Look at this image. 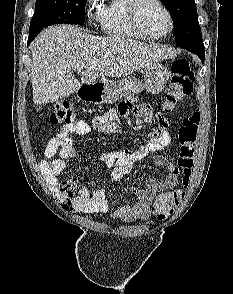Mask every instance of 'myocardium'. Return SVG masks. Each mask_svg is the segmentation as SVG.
Wrapping results in <instances>:
<instances>
[{
  "label": "myocardium",
  "instance_id": "1",
  "mask_svg": "<svg viewBox=\"0 0 233 294\" xmlns=\"http://www.w3.org/2000/svg\"><path fill=\"white\" fill-rule=\"evenodd\" d=\"M148 1H151V2L158 4L167 15V18L169 21V28L163 34H160V35L149 34L148 32H146L144 30V28L141 25L140 10H141V7L143 6V4ZM129 19H130V23H131L132 27L134 28V30L146 39L158 40V39L165 38L168 35H170L174 29L173 15H172L170 9L168 8V6L162 0H132L130 7H129Z\"/></svg>",
  "mask_w": 233,
  "mask_h": 294
}]
</instances>
